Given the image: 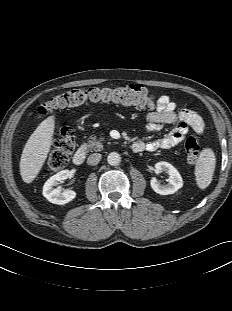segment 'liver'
Masks as SVG:
<instances>
[{
    "label": "liver",
    "instance_id": "1",
    "mask_svg": "<svg viewBox=\"0 0 232 311\" xmlns=\"http://www.w3.org/2000/svg\"><path fill=\"white\" fill-rule=\"evenodd\" d=\"M55 117L42 121L29 137L20 159V174L25 183H31L43 167L52 145Z\"/></svg>",
    "mask_w": 232,
    "mask_h": 311
}]
</instances>
